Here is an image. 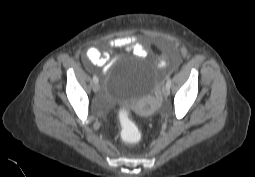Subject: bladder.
Listing matches in <instances>:
<instances>
[{"instance_id": "1", "label": "bladder", "mask_w": 255, "mask_h": 177, "mask_svg": "<svg viewBox=\"0 0 255 177\" xmlns=\"http://www.w3.org/2000/svg\"><path fill=\"white\" fill-rule=\"evenodd\" d=\"M160 64L144 57L119 63L105 80L108 98L118 104L147 112L144 99L154 94Z\"/></svg>"}]
</instances>
